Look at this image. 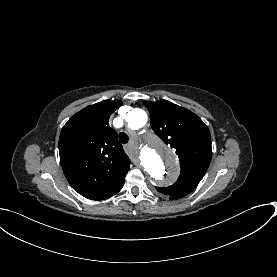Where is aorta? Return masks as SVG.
<instances>
[{"mask_svg": "<svg viewBox=\"0 0 277 277\" xmlns=\"http://www.w3.org/2000/svg\"><path fill=\"white\" fill-rule=\"evenodd\" d=\"M147 114L134 109L127 114L128 127L138 130L147 123ZM139 160L144 170L157 182L166 183L175 178L179 162L175 152L167 147L155 134H148L140 145Z\"/></svg>", "mask_w": 277, "mask_h": 277, "instance_id": "obj_1", "label": "aorta"}]
</instances>
